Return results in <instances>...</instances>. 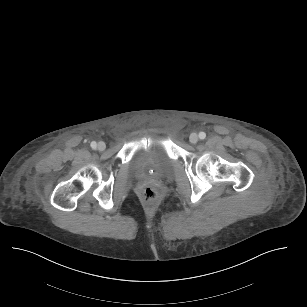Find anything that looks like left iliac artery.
<instances>
[{
  "mask_svg": "<svg viewBox=\"0 0 307 307\" xmlns=\"http://www.w3.org/2000/svg\"><path fill=\"white\" fill-rule=\"evenodd\" d=\"M199 138L202 139V140L205 139L206 138V134L204 132H200L199 133Z\"/></svg>",
  "mask_w": 307,
  "mask_h": 307,
  "instance_id": "44dca946",
  "label": "left iliac artery"
}]
</instances>
